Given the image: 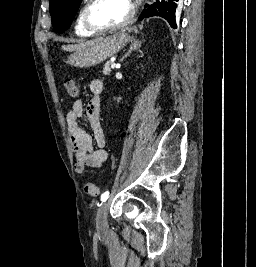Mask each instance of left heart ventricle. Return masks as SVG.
Returning <instances> with one entry per match:
<instances>
[{
    "label": "left heart ventricle",
    "instance_id": "obj_1",
    "mask_svg": "<svg viewBox=\"0 0 256 267\" xmlns=\"http://www.w3.org/2000/svg\"><path fill=\"white\" fill-rule=\"evenodd\" d=\"M131 8L126 3L115 0H101L90 10V18L99 26H109L127 22Z\"/></svg>",
    "mask_w": 256,
    "mask_h": 267
}]
</instances>
